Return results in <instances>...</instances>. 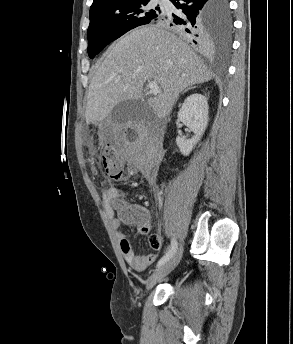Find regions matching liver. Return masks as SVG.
Here are the masks:
<instances>
[{
    "mask_svg": "<svg viewBox=\"0 0 293 344\" xmlns=\"http://www.w3.org/2000/svg\"><path fill=\"white\" fill-rule=\"evenodd\" d=\"M212 78L203 61L173 33L158 25L135 29L111 47L93 76L86 124L101 123L120 102L143 101L146 81L161 88V93L147 99L161 120L170 114L183 90Z\"/></svg>",
    "mask_w": 293,
    "mask_h": 344,
    "instance_id": "6515ba94",
    "label": "liver"
}]
</instances>
